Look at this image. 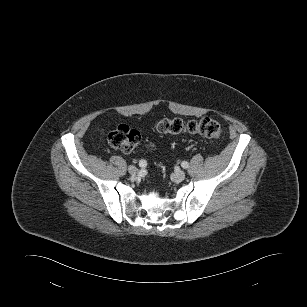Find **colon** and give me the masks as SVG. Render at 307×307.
<instances>
[{
    "mask_svg": "<svg viewBox=\"0 0 307 307\" xmlns=\"http://www.w3.org/2000/svg\"><path fill=\"white\" fill-rule=\"evenodd\" d=\"M155 129L162 134L178 135L188 133L210 139H218L222 135L220 124L208 117L188 122H184L179 118H164L155 124ZM141 139L140 132L127 125H119L108 135L109 145L124 153H130L137 148Z\"/></svg>",
    "mask_w": 307,
    "mask_h": 307,
    "instance_id": "5ec220e1",
    "label": "colon"
}]
</instances>
